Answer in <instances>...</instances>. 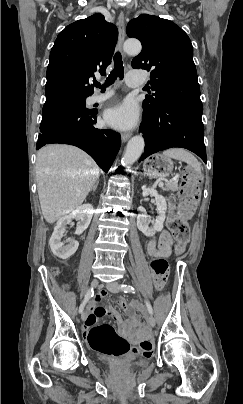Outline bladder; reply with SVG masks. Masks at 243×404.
I'll list each match as a JSON object with an SVG mask.
<instances>
[{
    "mask_svg": "<svg viewBox=\"0 0 243 404\" xmlns=\"http://www.w3.org/2000/svg\"><path fill=\"white\" fill-rule=\"evenodd\" d=\"M147 363L146 358H137L135 359L131 364H129V367H134V366H143Z\"/></svg>",
    "mask_w": 243,
    "mask_h": 404,
    "instance_id": "1",
    "label": "bladder"
}]
</instances>
